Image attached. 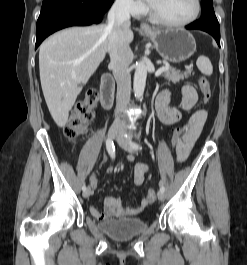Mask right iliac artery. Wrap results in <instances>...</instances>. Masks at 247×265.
I'll return each mask as SVG.
<instances>
[{"instance_id": "82829eb1", "label": "right iliac artery", "mask_w": 247, "mask_h": 265, "mask_svg": "<svg viewBox=\"0 0 247 265\" xmlns=\"http://www.w3.org/2000/svg\"><path fill=\"white\" fill-rule=\"evenodd\" d=\"M106 147H107V151H108V153L110 154V156L112 157V158H114L115 157V146H114V144H113V141H111V140H107L106 141ZM87 188H86V185H83L82 186V190L83 191H85Z\"/></svg>"}]
</instances>
